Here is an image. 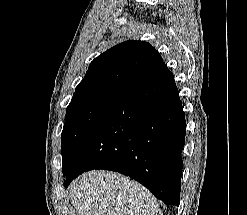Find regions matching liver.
I'll list each match as a JSON object with an SVG mask.
<instances>
[{
  "label": "liver",
  "instance_id": "1",
  "mask_svg": "<svg viewBox=\"0 0 247 215\" xmlns=\"http://www.w3.org/2000/svg\"><path fill=\"white\" fill-rule=\"evenodd\" d=\"M69 192L77 215H163L144 186L113 172L85 173Z\"/></svg>",
  "mask_w": 247,
  "mask_h": 215
}]
</instances>
